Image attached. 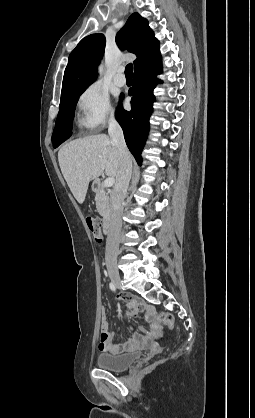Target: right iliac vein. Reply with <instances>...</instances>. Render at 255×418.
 <instances>
[{
  "mask_svg": "<svg viewBox=\"0 0 255 418\" xmlns=\"http://www.w3.org/2000/svg\"><path fill=\"white\" fill-rule=\"evenodd\" d=\"M109 277L111 279V281L116 285L119 286L121 283V278L119 275L118 270L115 267H111L109 268Z\"/></svg>",
  "mask_w": 255,
  "mask_h": 418,
  "instance_id": "right-iliac-vein-1",
  "label": "right iliac vein"
}]
</instances>
